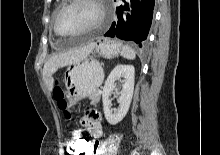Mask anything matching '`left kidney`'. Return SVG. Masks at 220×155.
I'll use <instances>...</instances> for the list:
<instances>
[{
  "label": "left kidney",
  "mask_w": 220,
  "mask_h": 155,
  "mask_svg": "<svg viewBox=\"0 0 220 155\" xmlns=\"http://www.w3.org/2000/svg\"><path fill=\"white\" fill-rule=\"evenodd\" d=\"M134 76V66L119 64L111 71L105 82L102 92L103 110L106 120L111 125L119 123L129 110L134 90ZM119 77L124 78V84L118 99L119 107L112 112L109 96L115 89V80Z\"/></svg>",
  "instance_id": "obj_1"
}]
</instances>
